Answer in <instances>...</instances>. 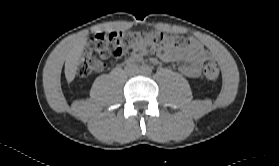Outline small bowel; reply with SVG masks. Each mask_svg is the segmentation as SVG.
Wrapping results in <instances>:
<instances>
[{"label":"small bowel","instance_id":"small-bowel-1","mask_svg":"<svg viewBox=\"0 0 279 166\" xmlns=\"http://www.w3.org/2000/svg\"><path fill=\"white\" fill-rule=\"evenodd\" d=\"M147 51H140L128 59L141 58ZM161 59L165 62L181 60L184 63L180 66V71L187 77L195 78L200 74L201 65L209 55L205 48L196 40H190L187 47L179 51H163L159 52Z\"/></svg>","mask_w":279,"mask_h":166}]
</instances>
